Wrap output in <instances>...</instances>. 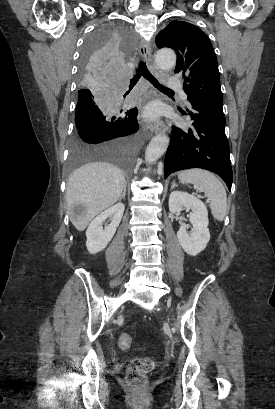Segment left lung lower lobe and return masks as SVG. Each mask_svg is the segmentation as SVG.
I'll use <instances>...</instances> for the list:
<instances>
[{
  "label": "left lung lower lobe",
  "instance_id": "0a47b994",
  "mask_svg": "<svg viewBox=\"0 0 275 409\" xmlns=\"http://www.w3.org/2000/svg\"><path fill=\"white\" fill-rule=\"evenodd\" d=\"M179 111L185 115L182 109ZM187 111L194 120L193 128L182 130L173 126L165 157V178L179 170L203 168L218 174L231 190L230 148L225 135L222 107L191 103Z\"/></svg>",
  "mask_w": 275,
  "mask_h": 409
}]
</instances>
